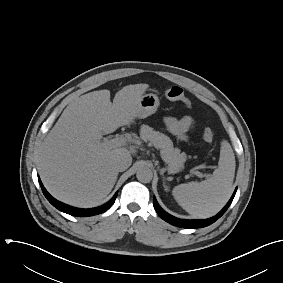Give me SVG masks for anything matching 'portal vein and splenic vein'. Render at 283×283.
I'll return each mask as SVG.
<instances>
[{"label": "portal vein and splenic vein", "mask_w": 283, "mask_h": 283, "mask_svg": "<svg viewBox=\"0 0 283 283\" xmlns=\"http://www.w3.org/2000/svg\"><path fill=\"white\" fill-rule=\"evenodd\" d=\"M130 142V139L126 138V137H115L113 139L110 140H104L103 145L110 147V148H116V147H121V146H125ZM192 173L195 174L196 176H198L199 178H203L204 174L199 172V171H193Z\"/></svg>", "instance_id": "1"}]
</instances>
